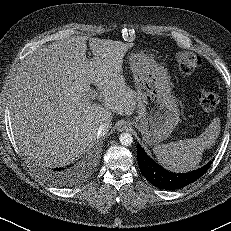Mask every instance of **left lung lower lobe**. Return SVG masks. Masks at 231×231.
Returning a JSON list of instances; mask_svg holds the SVG:
<instances>
[{
	"mask_svg": "<svg viewBox=\"0 0 231 231\" xmlns=\"http://www.w3.org/2000/svg\"><path fill=\"white\" fill-rule=\"evenodd\" d=\"M137 161L142 175L154 186L166 190L179 189L193 183L203 176L212 164L210 161L203 167L188 173H172L154 162L140 145H138Z\"/></svg>",
	"mask_w": 231,
	"mask_h": 231,
	"instance_id": "left-lung-lower-lobe-1",
	"label": "left lung lower lobe"
}]
</instances>
